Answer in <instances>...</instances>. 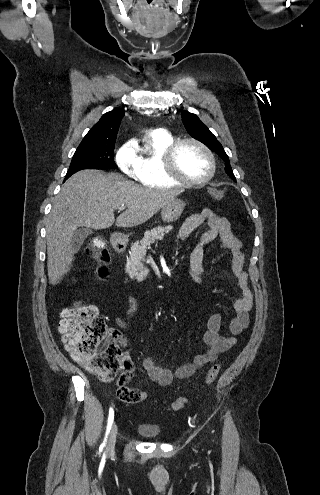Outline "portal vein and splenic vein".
Returning a JSON list of instances; mask_svg holds the SVG:
<instances>
[{
	"label": "portal vein and splenic vein",
	"instance_id": "1",
	"mask_svg": "<svg viewBox=\"0 0 320 495\" xmlns=\"http://www.w3.org/2000/svg\"><path fill=\"white\" fill-rule=\"evenodd\" d=\"M124 208H125L124 206H121V207L118 208V210L119 211H122V210H124Z\"/></svg>",
	"mask_w": 320,
	"mask_h": 495
}]
</instances>
